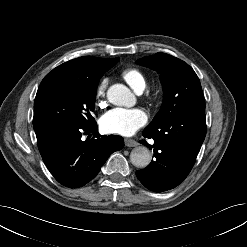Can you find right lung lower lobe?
Here are the masks:
<instances>
[{"mask_svg": "<svg viewBox=\"0 0 247 247\" xmlns=\"http://www.w3.org/2000/svg\"><path fill=\"white\" fill-rule=\"evenodd\" d=\"M37 145L50 173L62 185L78 188L91 181L108 157L124 146L121 136H100L97 125L45 123L34 127ZM83 135H94L84 140Z\"/></svg>", "mask_w": 247, "mask_h": 247, "instance_id": "right-lung-lower-lobe-1", "label": "right lung lower lobe"}]
</instances>
